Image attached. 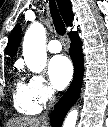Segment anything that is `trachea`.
<instances>
[{"label":"trachea","mask_w":108,"mask_h":127,"mask_svg":"<svg viewBox=\"0 0 108 127\" xmlns=\"http://www.w3.org/2000/svg\"><path fill=\"white\" fill-rule=\"evenodd\" d=\"M50 12H51V16L55 26V30L57 31L59 35L61 36L65 35L66 33L65 24L58 12V9L54 0H50Z\"/></svg>","instance_id":"3493384b"}]
</instances>
